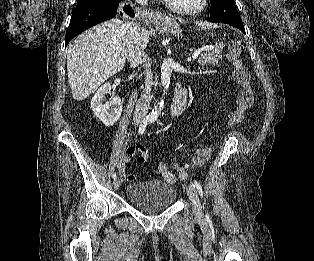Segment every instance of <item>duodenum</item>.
Instances as JSON below:
<instances>
[{"label":"duodenum","mask_w":314,"mask_h":261,"mask_svg":"<svg viewBox=\"0 0 314 261\" xmlns=\"http://www.w3.org/2000/svg\"><path fill=\"white\" fill-rule=\"evenodd\" d=\"M187 95L185 89L178 85L172 97L171 108L173 112H182L186 106Z\"/></svg>","instance_id":"410a0bca"}]
</instances>
